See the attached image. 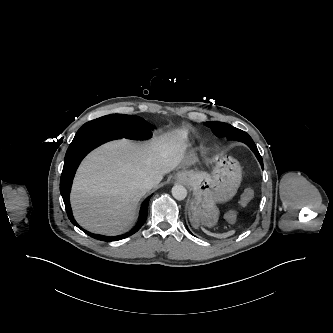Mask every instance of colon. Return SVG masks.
<instances>
[{"mask_svg":"<svg viewBox=\"0 0 333 333\" xmlns=\"http://www.w3.org/2000/svg\"><path fill=\"white\" fill-rule=\"evenodd\" d=\"M253 196H254V190L252 188L246 189L240 197V201H239L240 205L245 206L246 204H248L249 201L253 198ZM226 218L229 222H234L237 218L236 211L227 212Z\"/></svg>","mask_w":333,"mask_h":333,"instance_id":"5ec220e1","label":"colon"}]
</instances>
